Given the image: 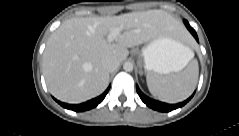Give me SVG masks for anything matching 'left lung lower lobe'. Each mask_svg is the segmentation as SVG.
<instances>
[{"instance_id":"left-lung-lower-lobe-1","label":"left lung lower lobe","mask_w":239,"mask_h":136,"mask_svg":"<svg viewBox=\"0 0 239 136\" xmlns=\"http://www.w3.org/2000/svg\"><path fill=\"white\" fill-rule=\"evenodd\" d=\"M184 24L186 25L187 29L191 32V34L194 36V38L198 41V37H197L195 30L189 25V23L186 20H184ZM136 89H137V93L139 94L141 100L147 106H149L150 108H152L154 110L160 111V112H170L172 110L180 108V107L184 106L194 95L193 94L190 98H188L184 102H181L178 104H167V103L159 102V101H156V100H153V99L147 97L145 94H143L140 91L138 86H136Z\"/></svg>"}]
</instances>
